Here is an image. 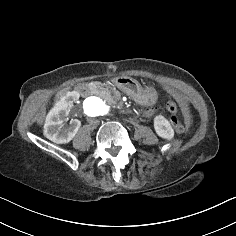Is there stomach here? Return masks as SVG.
<instances>
[{
	"label": "stomach",
	"mask_w": 236,
	"mask_h": 236,
	"mask_svg": "<svg viewBox=\"0 0 236 236\" xmlns=\"http://www.w3.org/2000/svg\"><path fill=\"white\" fill-rule=\"evenodd\" d=\"M118 90L131 95L134 102L141 105H148L156 102L158 95L149 87L141 86L136 80L126 77H119L116 80Z\"/></svg>",
	"instance_id": "obj_1"
}]
</instances>
